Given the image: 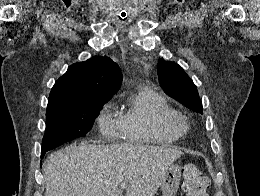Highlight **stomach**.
<instances>
[{
    "mask_svg": "<svg viewBox=\"0 0 260 196\" xmlns=\"http://www.w3.org/2000/svg\"><path fill=\"white\" fill-rule=\"evenodd\" d=\"M181 180V168L178 164H173L168 168L165 178H163L160 188L162 196H176Z\"/></svg>",
    "mask_w": 260,
    "mask_h": 196,
    "instance_id": "1",
    "label": "stomach"
}]
</instances>
